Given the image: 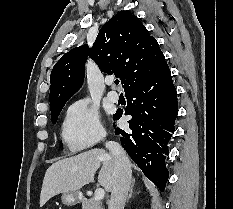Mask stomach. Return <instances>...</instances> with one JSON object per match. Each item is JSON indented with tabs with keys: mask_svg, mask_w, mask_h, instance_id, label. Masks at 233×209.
Returning a JSON list of instances; mask_svg holds the SVG:
<instances>
[{
	"mask_svg": "<svg viewBox=\"0 0 233 209\" xmlns=\"http://www.w3.org/2000/svg\"><path fill=\"white\" fill-rule=\"evenodd\" d=\"M61 200L65 206H74L81 200V194L77 191L63 193Z\"/></svg>",
	"mask_w": 233,
	"mask_h": 209,
	"instance_id": "obj_1",
	"label": "stomach"
}]
</instances>
